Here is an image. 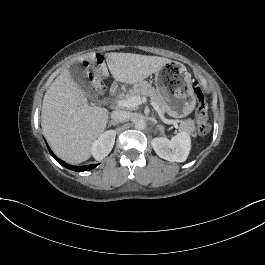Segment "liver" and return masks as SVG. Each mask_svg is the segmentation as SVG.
I'll return each instance as SVG.
<instances>
[{
  "instance_id": "obj_1",
  "label": "liver",
  "mask_w": 265,
  "mask_h": 265,
  "mask_svg": "<svg viewBox=\"0 0 265 265\" xmlns=\"http://www.w3.org/2000/svg\"><path fill=\"white\" fill-rule=\"evenodd\" d=\"M95 55L81 60L88 62L93 74L91 84L101 88L109 78L106 64L93 66ZM105 59L113 79L130 86L160 71L171 60L163 57L131 53H106ZM109 110L88 104L83 89L66 68L47 89L42 102L41 126L53 152L62 160L78 164L91 158L92 147L105 132Z\"/></svg>"
}]
</instances>
